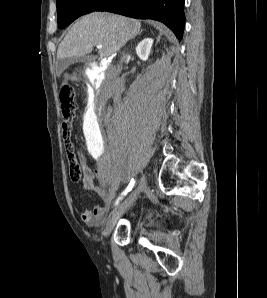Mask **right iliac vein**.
I'll return each mask as SVG.
<instances>
[{
  "mask_svg": "<svg viewBox=\"0 0 267 298\" xmlns=\"http://www.w3.org/2000/svg\"><path fill=\"white\" fill-rule=\"evenodd\" d=\"M145 186H146V177L145 175H142L138 182L137 187L110 214L106 223V227L103 231V235L105 237H108L110 235L118 219L127 211L128 208L132 206L137 196L145 188Z\"/></svg>",
  "mask_w": 267,
  "mask_h": 298,
  "instance_id": "1",
  "label": "right iliac vein"
}]
</instances>
